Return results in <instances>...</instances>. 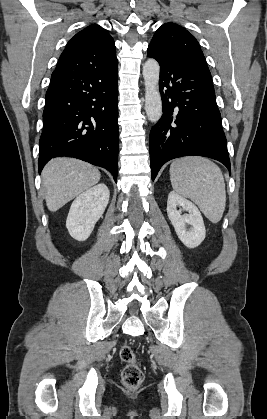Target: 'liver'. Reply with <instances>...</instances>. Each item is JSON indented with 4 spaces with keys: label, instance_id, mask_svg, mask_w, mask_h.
Masks as SVG:
<instances>
[{
    "label": "liver",
    "instance_id": "obj_1",
    "mask_svg": "<svg viewBox=\"0 0 267 419\" xmlns=\"http://www.w3.org/2000/svg\"><path fill=\"white\" fill-rule=\"evenodd\" d=\"M100 172L92 165L73 158H55L43 169L48 209L55 212L84 191L97 184Z\"/></svg>",
    "mask_w": 267,
    "mask_h": 419
}]
</instances>
